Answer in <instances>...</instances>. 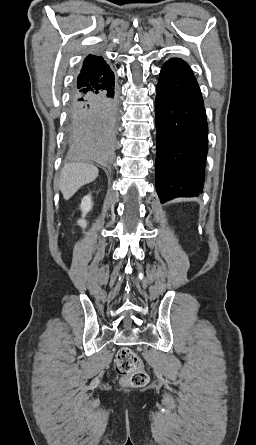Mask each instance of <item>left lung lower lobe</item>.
<instances>
[{"mask_svg":"<svg viewBox=\"0 0 256 445\" xmlns=\"http://www.w3.org/2000/svg\"><path fill=\"white\" fill-rule=\"evenodd\" d=\"M156 190L161 203L202 193L208 126L195 76L171 63L156 88Z\"/></svg>","mask_w":256,"mask_h":445,"instance_id":"left-lung-lower-lobe-1","label":"left lung lower lobe"}]
</instances>
